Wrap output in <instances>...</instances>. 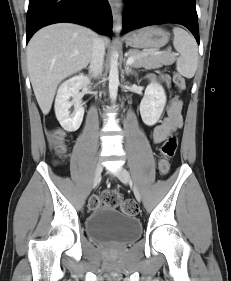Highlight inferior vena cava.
<instances>
[{
	"label": "inferior vena cava",
	"instance_id": "1",
	"mask_svg": "<svg viewBox=\"0 0 231 281\" xmlns=\"http://www.w3.org/2000/svg\"><path fill=\"white\" fill-rule=\"evenodd\" d=\"M104 55H105L104 41L96 35L93 41L92 57L89 66L90 74L93 77H96L100 74L103 68Z\"/></svg>",
	"mask_w": 231,
	"mask_h": 281
}]
</instances>
